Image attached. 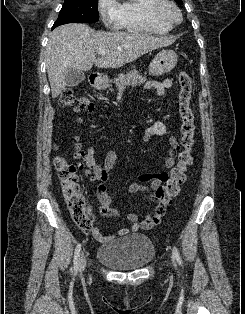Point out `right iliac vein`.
Wrapping results in <instances>:
<instances>
[{
	"label": "right iliac vein",
	"instance_id": "63e3f726",
	"mask_svg": "<svg viewBox=\"0 0 245 314\" xmlns=\"http://www.w3.org/2000/svg\"><path fill=\"white\" fill-rule=\"evenodd\" d=\"M86 257L84 255V253L81 254V258H80V265H79V271L83 272L86 268Z\"/></svg>",
	"mask_w": 245,
	"mask_h": 314
}]
</instances>
